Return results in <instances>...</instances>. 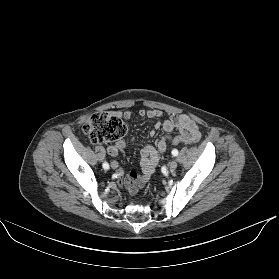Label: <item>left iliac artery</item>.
Segmentation results:
<instances>
[{
    "label": "left iliac artery",
    "mask_w": 279,
    "mask_h": 279,
    "mask_svg": "<svg viewBox=\"0 0 279 279\" xmlns=\"http://www.w3.org/2000/svg\"><path fill=\"white\" fill-rule=\"evenodd\" d=\"M171 153H172L173 156H177L178 155V150L177 149H173Z\"/></svg>",
    "instance_id": "44dca946"
}]
</instances>
